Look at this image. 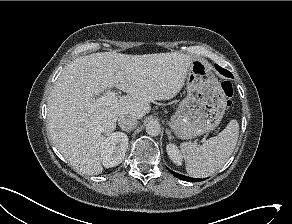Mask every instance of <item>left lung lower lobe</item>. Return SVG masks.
<instances>
[{"instance_id":"1","label":"left lung lower lobe","mask_w":292,"mask_h":224,"mask_svg":"<svg viewBox=\"0 0 292 224\" xmlns=\"http://www.w3.org/2000/svg\"><path fill=\"white\" fill-rule=\"evenodd\" d=\"M216 66V69L220 72V73H223L224 75L225 72H224V69L219 67L218 65H215ZM175 177L179 178V179H182V180H185V181H188V182H198V181H202V179H196V178H191V177H187V176H184V175H181V174H178L176 172H173V171H170Z\"/></svg>"}]
</instances>
